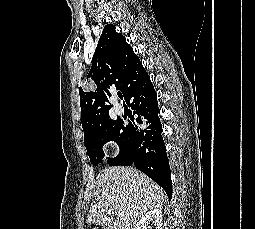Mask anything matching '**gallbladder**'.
<instances>
[{"label": "gallbladder", "mask_w": 255, "mask_h": 229, "mask_svg": "<svg viewBox=\"0 0 255 229\" xmlns=\"http://www.w3.org/2000/svg\"><path fill=\"white\" fill-rule=\"evenodd\" d=\"M106 229H112L111 225L107 226V228H106Z\"/></svg>", "instance_id": "1"}]
</instances>
